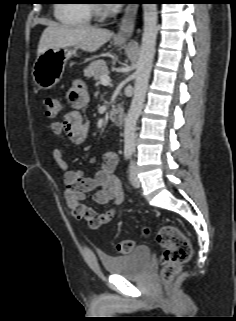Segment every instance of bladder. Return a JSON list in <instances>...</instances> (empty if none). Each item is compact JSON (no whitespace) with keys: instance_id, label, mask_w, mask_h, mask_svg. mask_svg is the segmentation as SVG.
I'll return each instance as SVG.
<instances>
[{"instance_id":"obj_1","label":"bladder","mask_w":236,"mask_h":321,"mask_svg":"<svg viewBox=\"0 0 236 321\" xmlns=\"http://www.w3.org/2000/svg\"><path fill=\"white\" fill-rule=\"evenodd\" d=\"M151 258L148 245H138L133 251L118 256L100 258L106 272L127 278L140 277Z\"/></svg>"}]
</instances>
